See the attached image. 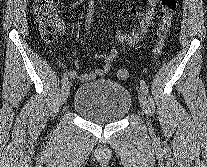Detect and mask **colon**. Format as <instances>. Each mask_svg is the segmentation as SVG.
Wrapping results in <instances>:
<instances>
[{
  "mask_svg": "<svg viewBox=\"0 0 207 167\" xmlns=\"http://www.w3.org/2000/svg\"><path fill=\"white\" fill-rule=\"evenodd\" d=\"M178 6V0H160L162 17L157 26V42L153 49V57L156 58L162 52L167 34L171 28L173 15ZM34 15L40 25L42 38L46 42H54L58 34L59 19L57 16V0H35ZM117 77L126 80L129 72L126 69H119Z\"/></svg>",
  "mask_w": 207,
  "mask_h": 167,
  "instance_id": "5ec220e1",
  "label": "colon"
}]
</instances>
